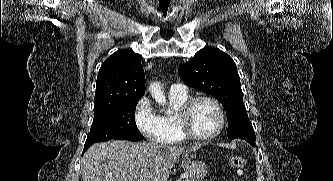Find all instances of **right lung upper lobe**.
Instances as JSON below:
<instances>
[{
	"mask_svg": "<svg viewBox=\"0 0 333 181\" xmlns=\"http://www.w3.org/2000/svg\"><path fill=\"white\" fill-rule=\"evenodd\" d=\"M141 61V55L125 49L104 61L97 76L94 109L141 99L145 93Z\"/></svg>",
	"mask_w": 333,
	"mask_h": 181,
	"instance_id": "cb5924a9",
	"label": "right lung upper lobe"
}]
</instances>
